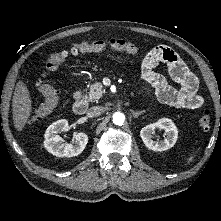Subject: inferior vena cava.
Listing matches in <instances>:
<instances>
[{
  "label": "inferior vena cava",
  "mask_w": 221,
  "mask_h": 221,
  "mask_svg": "<svg viewBox=\"0 0 221 221\" xmlns=\"http://www.w3.org/2000/svg\"><path fill=\"white\" fill-rule=\"evenodd\" d=\"M100 113H101V108L98 106H94L88 110L87 116L89 118H92V117L98 116Z\"/></svg>",
  "instance_id": "inferior-vena-cava-1"
}]
</instances>
